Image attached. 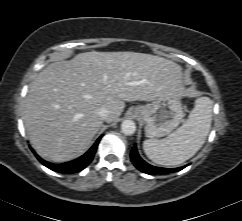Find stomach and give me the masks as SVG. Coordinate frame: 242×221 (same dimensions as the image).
<instances>
[{
	"label": "stomach",
	"mask_w": 242,
	"mask_h": 221,
	"mask_svg": "<svg viewBox=\"0 0 242 221\" xmlns=\"http://www.w3.org/2000/svg\"><path fill=\"white\" fill-rule=\"evenodd\" d=\"M132 114L145 123V134L150 138L168 135L181 122L183 107L180 97L163 96L147 105L132 109Z\"/></svg>",
	"instance_id": "1"
}]
</instances>
